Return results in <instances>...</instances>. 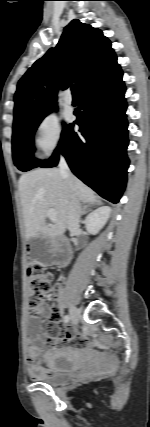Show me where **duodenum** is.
<instances>
[{"label":"duodenum","mask_w":150,"mask_h":427,"mask_svg":"<svg viewBox=\"0 0 150 427\" xmlns=\"http://www.w3.org/2000/svg\"><path fill=\"white\" fill-rule=\"evenodd\" d=\"M55 262L60 267L66 266L69 262V251L65 240L61 241Z\"/></svg>","instance_id":"duodenum-1"}]
</instances>
